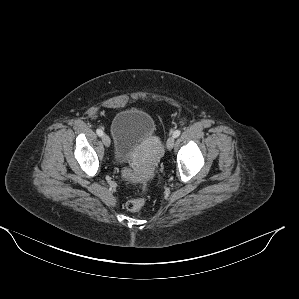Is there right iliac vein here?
Returning a JSON list of instances; mask_svg holds the SVG:
<instances>
[{"mask_svg":"<svg viewBox=\"0 0 299 299\" xmlns=\"http://www.w3.org/2000/svg\"><path fill=\"white\" fill-rule=\"evenodd\" d=\"M102 142L106 147H109L111 144V140H110L109 136L106 134L102 135Z\"/></svg>","mask_w":299,"mask_h":299,"instance_id":"obj_1","label":"right iliac vein"}]
</instances>
